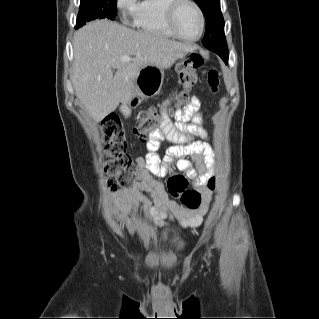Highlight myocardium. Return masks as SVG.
Segmentation results:
<instances>
[{
  "instance_id": "obj_1",
  "label": "myocardium",
  "mask_w": 319,
  "mask_h": 319,
  "mask_svg": "<svg viewBox=\"0 0 319 319\" xmlns=\"http://www.w3.org/2000/svg\"><path fill=\"white\" fill-rule=\"evenodd\" d=\"M184 4H190L191 6H193L199 17L200 30L198 35L194 38H187L181 35L179 31L177 30V27L175 24L177 12ZM165 21L172 35L183 41L196 42L202 37L204 33V28H205L204 13L202 9L200 8V6L194 0H169L165 10Z\"/></svg>"
}]
</instances>
